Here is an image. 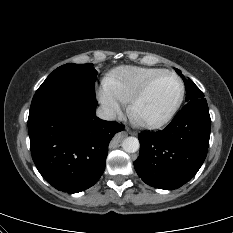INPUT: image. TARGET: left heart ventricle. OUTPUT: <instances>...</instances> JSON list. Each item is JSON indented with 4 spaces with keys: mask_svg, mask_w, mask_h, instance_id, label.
I'll return each mask as SVG.
<instances>
[{
    "mask_svg": "<svg viewBox=\"0 0 233 233\" xmlns=\"http://www.w3.org/2000/svg\"><path fill=\"white\" fill-rule=\"evenodd\" d=\"M180 92L177 79L170 75L159 78L136 105L134 114L142 121L163 117L176 102Z\"/></svg>",
    "mask_w": 233,
    "mask_h": 233,
    "instance_id": "1",
    "label": "left heart ventricle"
}]
</instances>
